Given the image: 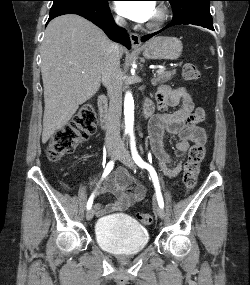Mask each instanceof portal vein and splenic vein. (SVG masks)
<instances>
[{"instance_id":"1","label":"portal vein and splenic vein","mask_w":250,"mask_h":285,"mask_svg":"<svg viewBox=\"0 0 250 285\" xmlns=\"http://www.w3.org/2000/svg\"><path fill=\"white\" fill-rule=\"evenodd\" d=\"M164 69H165L164 67H160L158 70H156V72H155V73H156V74H157V73H161V72H163V71H164Z\"/></svg>"}]
</instances>
